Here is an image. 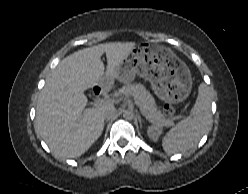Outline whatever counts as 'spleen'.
<instances>
[{
	"label": "spleen",
	"instance_id": "obj_1",
	"mask_svg": "<svg viewBox=\"0 0 248 194\" xmlns=\"http://www.w3.org/2000/svg\"><path fill=\"white\" fill-rule=\"evenodd\" d=\"M187 117L171 128L162 139V147L167 154L185 152L193 148L211 127V96L208 86L201 83L198 97Z\"/></svg>",
	"mask_w": 248,
	"mask_h": 194
}]
</instances>
